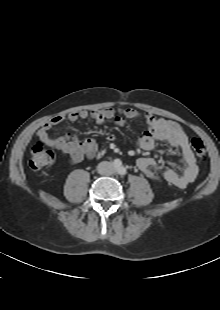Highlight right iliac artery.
<instances>
[{"mask_svg": "<svg viewBox=\"0 0 220 310\" xmlns=\"http://www.w3.org/2000/svg\"><path fill=\"white\" fill-rule=\"evenodd\" d=\"M113 165L116 169H118L121 166V161L119 159H115Z\"/></svg>", "mask_w": 220, "mask_h": 310, "instance_id": "right-iliac-artery-1", "label": "right iliac artery"}]
</instances>
